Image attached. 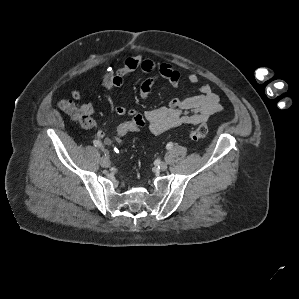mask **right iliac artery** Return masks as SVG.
I'll use <instances>...</instances> for the list:
<instances>
[{
    "mask_svg": "<svg viewBox=\"0 0 299 299\" xmlns=\"http://www.w3.org/2000/svg\"><path fill=\"white\" fill-rule=\"evenodd\" d=\"M93 144H94V146H96V147H101V146H102V143H101L99 140H94V141H93Z\"/></svg>",
    "mask_w": 299,
    "mask_h": 299,
    "instance_id": "obj_1",
    "label": "right iliac artery"
}]
</instances>
